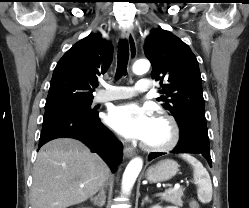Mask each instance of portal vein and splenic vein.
I'll return each instance as SVG.
<instances>
[{
    "instance_id": "obj_1",
    "label": "portal vein and splenic vein",
    "mask_w": 249,
    "mask_h": 208,
    "mask_svg": "<svg viewBox=\"0 0 249 208\" xmlns=\"http://www.w3.org/2000/svg\"><path fill=\"white\" fill-rule=\"evenodd\" d=\"M80 187H83V185H81ZM180 188V184H175L174 185V188H173V190H178ZM160 195H165V193H163V194H160Z\"/></svg>"
}]
</instances>
